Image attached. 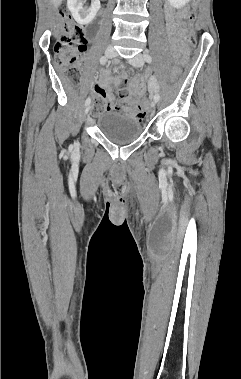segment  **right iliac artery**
<instances>
[{
	"instance_id": "1",
	"label": "right iliac artery",
	"mask_w": 241,
	"mask_h": 379,
	"mask_svg": "<svg viewBox=\"0 0 241 379\" xmlns=\"http://www.w3.org/2000/svg\"><path fill=\"white\" fill-rule=\"evenodd\" d=\"M106 62H107V58H106L105 56H102V57L100 58V63H101L102 65H104V64H106ZM90 102H91V99L88 97V98L86 99L85 105H86V106L89 105Z\"/></svg>"
}]
</instances>
